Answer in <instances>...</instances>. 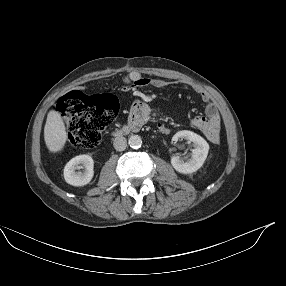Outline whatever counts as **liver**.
<instances>
[{"label": "liver", "instance_id": "liver-1", "mask_svg": "<svg viewBox=\"0 0 286 286\" xmlns=\"http://www.w3.org/2000/svg\"><path fill=\"white\" fill-rule=\"evenodd\" d=\"M44 140L50 152H60L63 150L67 133L61 115L55 111H49L44 127Z\"/></svg>", "mask_w": 286, "mask_h": 286}]
</instances>
